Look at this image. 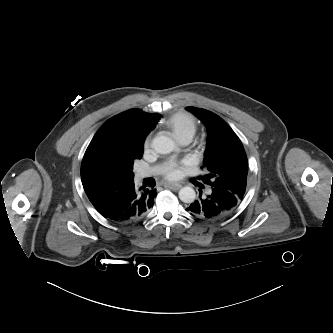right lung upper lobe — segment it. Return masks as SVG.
<instances>
[{"label":"right lung upper lobe","mask_w":333,"mask_h":333,"mask_svg":"<svg viewBox=\"0 0 333 333\" xmlns=\"http://www.w3.org/2000/svg\"><path fill=\"white\" fill-rule=\"evenodd\" d=\"M160 116L156 113H145L142 110L131 109L107 120L94 135L86 153L112 138L127 139L143 149L146 136L156 126Z\"/></svg>","instance_id":"cb5924a9"}]
</instances>
